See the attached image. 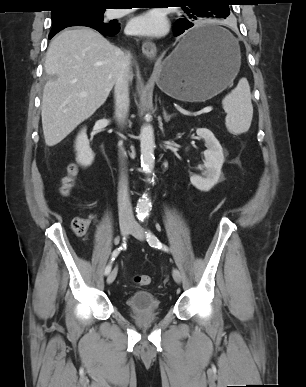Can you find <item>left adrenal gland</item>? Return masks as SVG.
I'll return each instance as SVG.
<instances>
[{"label": "left adrenal gland", "mask_w": 306, "mask_h": 387, "mask_svg": "<svg viewBox=\"0 0 306 387\" xmlns=\"http://www.w3.org/2000/svg\"><path fill=\"white\" fill-rule=\"evenodd\" d=\"M174 116H176L175 113L167 114L166 110H165L164 107H163V118H164L165 122H169L170 119H171L172 117H174Z\"/></svg>", "instance_id": "left-adrenal-gland-1"}]
</instances>
